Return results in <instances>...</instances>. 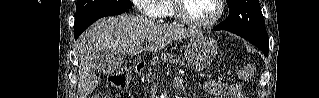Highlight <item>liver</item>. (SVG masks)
Listing matches in <instances>:
<instances>
[{
  "mask_svg": "<svg viewBox=\"0 0 319 98\" xmlns=\"http://www.w3.org/2000/svg\"><path fill=\"white\" fill-rule=\"evenodd\" d=\"M198 34L201 33L197 30L157 24L139 15L124 14L98 20L80 37L77 98H87L100 82L94 64L97 54L108 50L123 55L157 52L173 41ZM149 38L153 39L152 43L143 48V42Z\"/></svg>",
  "mask_w": 319,
  "mask_h": 98,
  "instance_id": "liver-1",
  "label": "liver"
}]
</instances>
